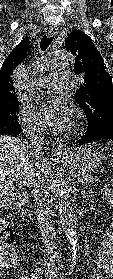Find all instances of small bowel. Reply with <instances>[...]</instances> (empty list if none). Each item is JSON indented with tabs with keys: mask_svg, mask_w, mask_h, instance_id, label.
I'll use <instances>...</instances> for the list:
<instances>
[{
	"mask_svg": "<svg viewBox=\"0 0 113 279\" xmlns=\"http://www.w3.org/2000/svg\"><path fill=\"white\" fill-rule=\"evenodd\" d=\"M109 200L113 205V195L109 196ZM97 266L113 279V219L101 238V251L97 257Z\"/></svg>",
	"mask_w": 113,
	"mask_h": 279,
	"instance_id": "small-bowel-1",
	"label": "small bowel"
}]
</instances>
